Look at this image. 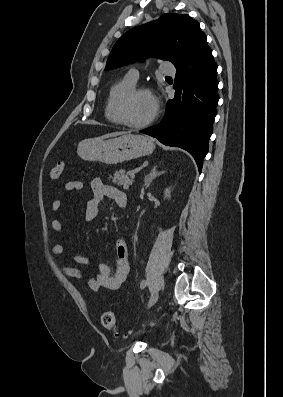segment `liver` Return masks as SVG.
<instances>
[{"instance_id": "6515ba94", "label": "liver", "mask_w": 283, "mask_h": 397, "mask_svg": "<svg viewBox=\"0 0 283 397\" xmlns=\"http://www.w3.org/2000/svg\"><path fill=\"white\" fill-rule=\"evenodd\" d=\"M122 134H125V133H123V132H113V133H110V134H106V135H104V136H102V137H100L98 139L114 137V136H118V135H122Z\"/></svg>"}]
</instances>
